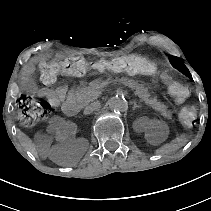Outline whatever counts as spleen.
Here are the masks:
<instances>
[{"label":"spleen","instance_id":"obj_1","mask_svg":"<svg viewBox=\"0 0 211 211\" xmlns=\"http://www.w3.org/2000/svg\"><path fill=\"white\" fill-rule=\"evenodd\" d=\"M188 138L184 134L176 135L174 139L171 141L163 144L158 149L154 151V154L156 155H167L172 154L184 145L188 143Z\"/></svg>","mask_w":211,"mask_h":211}]
</instances>
